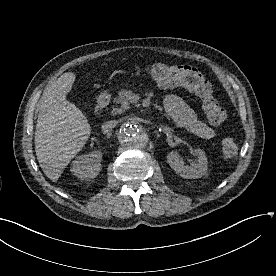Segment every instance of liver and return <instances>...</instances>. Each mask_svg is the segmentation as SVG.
<instances>
[{
	"instance_id": "6515ba94",
	"label": "liver",
	"mask_w": 276,
	"mask_h": 276,
	"mask_svg": "<svg viewBox=\"0 0 276 276\" xmlns=\"http://www.w3.org/2000/svg\"><path fill=\"white\" fill-rule=\"evenodd\" d=\"M75 74L67 72L47 87L40 100L35 151L41 169L56 182L91 135L86 116L66 99Z\"/></svg>"
}]
</instances>
